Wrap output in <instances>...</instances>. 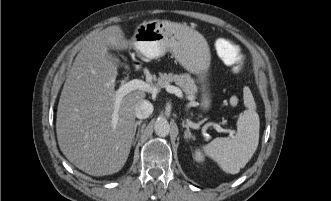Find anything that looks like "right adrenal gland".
<instances>
[{"label":"right adrenal gland","mask_w":331,"mask_h":201,"mask_svg":"<svg viewBox=\"0 0 331 201\" xmlns=\"http://www.w3.org/2000/svg\"><path fill=\"white\" fill-rule=\"evenodd\" d=\"M142 122H143L142 120H139V121H136L135 124H134L133 142H132L133 145L136 144V142L138 140V137H139V131H138V133H137V135L135 137L137 126L140 127V125L142 124ZM139 130H140V128H139Z\"/></svg>","instance_id":"obj_1"}]
</instances>
